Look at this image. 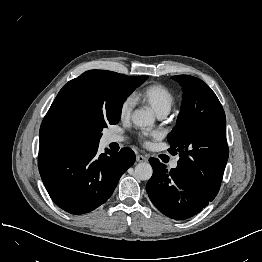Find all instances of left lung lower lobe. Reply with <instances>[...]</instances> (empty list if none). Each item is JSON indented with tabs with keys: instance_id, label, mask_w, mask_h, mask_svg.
I'll return each instance as SVG.
<instances>
[{
	"instance_id": "left-lung-lower-lobe-1",
	"label": "left lung lower lobe",
	"mask_w": 262,
	"mask_h": 262,
	"mask_svg": "<svg viewBox=\"0 0 262 262\" xmlns=\"http://www.w3.org/2000/svg\"><path fill=\"white\" fill-rule=\"evenodd\" d=\"M153 175L146 191L154 206L164 215L185 220L202 211L214 198L202 190L178 168L167 170L156 158H150Z\"/></svg>"
}]
</instances>
